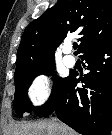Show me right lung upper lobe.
<instances>
[{
    "instance_id": "obj_1",
    "label": "right lung upper lobe",
    "mask_w": 112,
    "mask_h": 135,
    "mask_svg": "<svg viewBox=\"0 0 112 135\" xmlns=\"http://www.w3.org/2000/svg\"><path fill=\"white\" fill-rule=\"evenodd\" d=\"M71 33L78 37L80 53L112 40V1L58 0L25 29L14 76L54 62L56 47Z\"/></svg>"
}]
</instances>
